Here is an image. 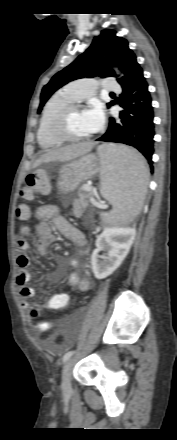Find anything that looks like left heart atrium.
<instances>
[{"mask_svg": "<svg viewBox=\"0 0 177 440\" xmlns=\"http://www.w3.org/2000/svg\"><path fill=\"white\" fill-rule=\"evenodd\" d=\"M83 115L90 133H94L102 127L104 123V112L99 103H95L84 110Z\"/></svg>", "mask_w": 177, "mask_h": 440, "instance_id": "1", "label": "left heart atrium"}]
</instances>
